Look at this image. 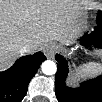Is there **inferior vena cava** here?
I'll list each match as a JSON object with an SVG mask.
<instances>
[{
	"instance_id": "obj_1",
	"label": "inferior vena cava",
	"mask_w": 102,
	"mask_h": 102,
	"mask_svg": "<svg viewBox=\"0 0 102 102\" xmlns=\"http://www.w3.org/2000/svg\"><path fill=\"white\" fill-rule=\"evenodd\" d=\"M32 47H30V46H24V47H22L21 49H20V53H30V52H32Z\"/></svg>"
}]
</instances>
